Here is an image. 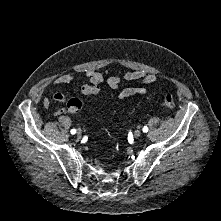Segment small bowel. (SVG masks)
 Masks as SVG:
<instances>
[{"instance_id": "1", "label": "small bowel", "mask_w": 221, "mask_h": 221, "mask_svg": "<svg viewBox=\"0 0 221 221\" xmlns=\"http://www.w3.org/2000/svg\"><path fill=\"white\" fill-rule=\"evenodd\" d=\"M86 78L89 84L99 85L104 81V75L102 72L97 70H88L86 71ZM75 79L74 73H63L56 76L52 84L53 85H64L69 84ZM157 76L146 71H130L125 73L122 77L119 76H110L107 78L106 83L112 89L121 88L118 98L126 99L135 95H145L148 93V90L145 87H133V86H122L124 81L127 82H140L144 85L151 84L157 81ZM87 85V84H86ZM70 98H68L65 94L61 92H55L51 95V97H46L43 100L44 108H49L52 103H69ZM64 112L63 108H57L54 112L55 115H61Z\"/></svg>"}]
</instances>
